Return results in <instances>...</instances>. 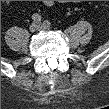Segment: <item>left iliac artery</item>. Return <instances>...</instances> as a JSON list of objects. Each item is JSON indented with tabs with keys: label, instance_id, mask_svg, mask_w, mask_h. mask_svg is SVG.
<instances>
[{
	"label": "left iliac artery",
	"instance_id": "1",
	"mask_svg": "<svg viewBox=\"0 0 109 109\" xmlns=\"http://www.w3.org/2000/svg\"><path fill=\"white\" fill-rule=\"evenodd\" d=\"M44 24H45V26H46L47 28L50 27V22H49V21H45Z\"/></svg>",
	"mask_w": 109,
	"mask_h": 109
}]
</instances>
